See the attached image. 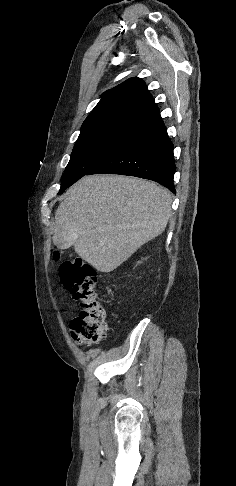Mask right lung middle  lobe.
<instances>
[{"label": "right lung middle lobe", "mask_w": 236, "mask_h": 486, "mask_svg": "<svg viewBox=\"0 0 236 486\" xmlns=\"http://www.w3.org/2000/svg\"><path fill=\"white\" fill-rule=\"evenodd\" d=\"M138 130L137 124H117L80 133L58 194L87 175L91 169L127 143Z\"/></svg>", "instance_id": "1"}]
</instances>
